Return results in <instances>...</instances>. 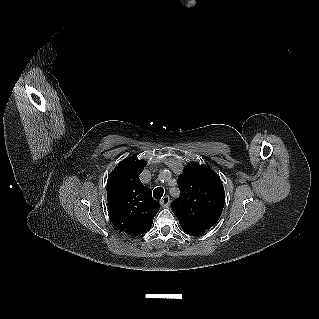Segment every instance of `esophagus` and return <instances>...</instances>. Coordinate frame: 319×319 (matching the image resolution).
<instances>
[{
	"instance_id": "1",
	"label": "esophagus",
	"mask_w": 319,
	"mask_h": 319,
	"mask_svg": "<svg viewBox=\"0 0 319 319\" xmlns=\"http://www.w3.org/2000/svg\"><path fill=\"white\" fill-rule=\"evenodd\" d=\"M160 204L162 207L164 208H168L169 205H170V198L168 195H165L162 197L161 201H160Z\"/></svg>"
}]
</instances>
